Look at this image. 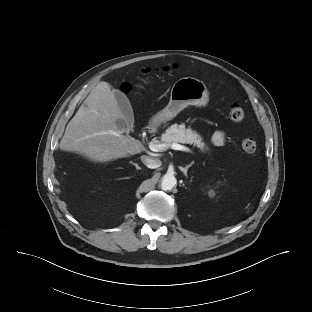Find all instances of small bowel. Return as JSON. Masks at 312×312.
<instances>
[{
  "label": "small bowel",
  "mask_w": 312,
  "mask_h": 312,
  "mask_svg": "<svg viewBox=\"0 0 312 312\" xmlns=\"http://www.w3.org/2000/svg\"><path fill=\"white\" fill-rule=\"evenodd\" d=\"M211 142L216 146H221L226 141V135L223 131H216L211 135Z\"/></svg>",
  "instance_id": "1"
}]
</instances>
